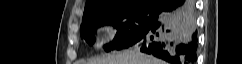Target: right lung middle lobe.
I'll return each instance as SVG.
<instances>
[{"instance_id":"right-lung-middle-lobe-1","label":"right lung middle lobe","mask_w":242,"mask_h":64,"mask_svg":"<svg viewBox=\"0 0 242 64\" xmlns=\"http://www.w3.org/2000/svg\"><path fill=\"white\" fill-rule=\"evenodd\" d=\"M158 11L154 8L138 7L123 11L103 13L83 19L80 35L89 45L95 41L97 27L112 25L117 34L111 44L104 46L108 52L111 49H123L140 37L156 21Z\"/></svg>"}]
</instances>
